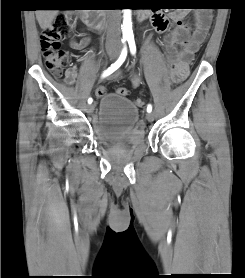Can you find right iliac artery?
Returning <instances> with one entry per match:
<instances>
[{
    "mask_svg": "<svg viewBox=\"0 0 245 278\" xmlns=\"http://www.w3.org/2000/svg\"><path fill=\"white\" fill-rule=\"evenodd\" d=\"M126 41V39H123L122 42L124 43ZM126 56H127V48L124 47L122 52H121V55L120 57L118 58V60L112 64L103 74H102V77H106L108 75H110L111 73H113L115 70H117L121 65L122 63L125 61L126 59ZM92 98H89L88 99V103L91 104L92 103Z\"/></svg>",
    "mask_w": 245,
    "mask_h": 278,
    "instance_id": "1",
    "label": "right iliac artery"
}]
</instances>
